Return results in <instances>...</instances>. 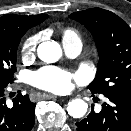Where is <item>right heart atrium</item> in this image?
Listing matches in <instances>:
<instances>
[{"mask_svg": "<svg viewBox=\"0 0 131 131\" xmlns=\"http://www.w3.org/2000/svg\"><path fill=\"white\" fill-rule=\"evenodd\" d=\"M40 40L39 34H34L27 37L21 45V54L24 59L34 55L38 42Z\"/></svg>", "mask_w": 131, "mask_h": 131, "instance_id": "obj_1", "label": "right heart atrium"}]
</instances>
